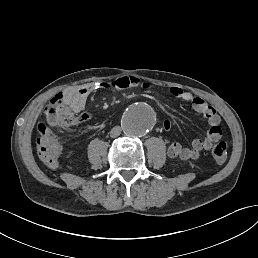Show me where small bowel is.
Returning <instances> with one entry per match:
<instances>
[{
  "mask_svg": "<svg viewBox=\"0 0 258 258\" xmlns=\"http://www.w3.org/2000/svg\"><path fill=\"white\" fill-rule=\"evenodd\" d=\"M133 87L148 89L150 86L148 83L142 82L137 77L122 76L111 83L94 82L80 87L66 89L51 100L48 122L51 125H55L57 112L61 109L81 112L85 108L88 96L98 90L105 88L121 90ZM170 94L177 99L189 102L195 112L205 117L210 127L204 133L202 138L194 139L190 147H184L179 143H172L167 149V154L170 158H178L181 160L197 159L201 151L210 150L212 144L221 138L222 130L220 127V116L212 106L205 102L204 99L194 96L189 91L180 87H171ZM83 115L85 121L90 119L88 113H83ZM163 127L165 130H169L171 128V122L165 120L163 122ZM43 163L51 169H54L57 166V164L51 165L45 162Z\"/></svg>",
  "mask_w": 258,
  "mask_h": 258,
  "instance_id": "c3829d8e",
  "label": "small bowel"
}]
</instances>
